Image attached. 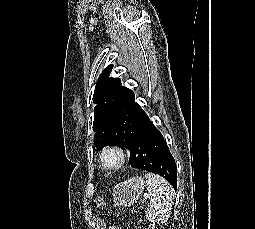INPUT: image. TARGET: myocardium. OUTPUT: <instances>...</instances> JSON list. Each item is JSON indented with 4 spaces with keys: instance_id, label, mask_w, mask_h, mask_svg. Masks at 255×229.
<instances>
[{
    "instance_id": "1",
    "label": "myocardium",
    "mask_w": 255,
    "mask_h": 229,
    "mask_svg": "<svg viewBox=\"0 0 255 229\" xmlns=\"http://www.w3.org/2000/svg\"><path fill=\"white\" fill-rule=\"evenodd\" d=\"M108 155H114L116 157L115 162L108 163L106 161V157ZM126 159H127L126 151L118 145L105 146L99 154L100 164L102 168L107 170H114L120 168L126 162Z\"/></svg>"
}]
</instances>
